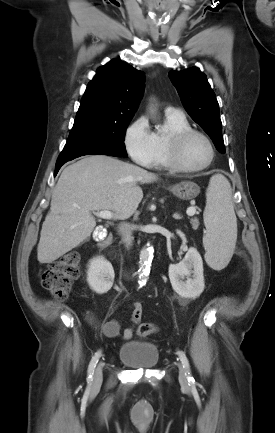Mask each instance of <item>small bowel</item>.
<instances>
[{
  "instance_id": "1",
  "label": "small bowel",
  "mask_w": 275,
  "mask_h": 433,
  "mask_svg": "<svg viewBox=\"0 0 275 433\" xmlns=\"http://www.w3.org/2000/svg\"><path fill=\"white\" fill-rule=\"evenodd\" d=\"M131 316H130V326L123 331V338L125 340L131 339L134 335L135 327L140 323L142 318L143 308L139 302H135L130 305ZM121 330L120 322L117 319L108 320L103 325V332L106 337L113 338L116 337Z\"/></svg>"
}]
</instances>
